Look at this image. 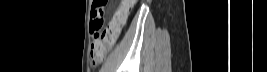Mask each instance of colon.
I'll list each match as a JSON object with an SVG mask.
<instances>
[{
  "mask_svg": "<svg viewBox=\"0 0 267 72\" xmlns=\"http://www.w3.org/2000/svg\"><path fill=\"white\" fill-rule=\"evenodd\" d=\"M107 3L108 0L95 1V8L91 14L89 28L94 37L90 50L92 66H97L103 62L119 33V26L115 23H110L107 28H104V11ZM116 13H121V11L116 10Z\"/></svg>",
  "mask_w": 267,
  "mask_h": 72,
  "instance_id": "obj_1",
  "label": "colon"
}]
</instances>
